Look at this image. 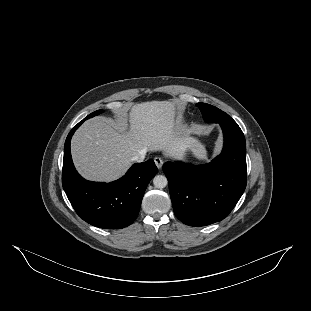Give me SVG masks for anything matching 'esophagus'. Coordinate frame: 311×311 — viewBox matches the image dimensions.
<instances>
[{
	"label": "esophagus",
	"mask_w": 311,
	"mask_h": 311,
	"mask_svg": "<svg viewBox=\"0 0 311 311\" xmlns=\"http://www.w3.org/2000/svg\"><path fill=\"white\" fill-rule=\"evenodd\" d=\"M154 162L158 169H161L163 166V159L161 157H155Z\"/></svg>",
	"instance_id": "34e87169"
}]
</instances>
